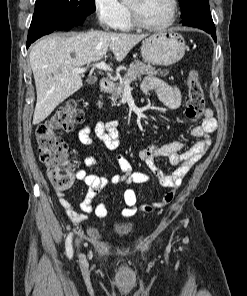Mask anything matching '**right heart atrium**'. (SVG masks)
<instances>
[{
	"label": "right heart atrium",
	"mask_w": 247,
	"mask_h": 296,
	"mask_svg": "<svg viewBox=\"0 0 247 296\" xmlns=\"http://www.w3.org/2000/svg\"><path fill=\"white\" fill-rule=\"evenodd\" d=\"M94 14L102 27L118 28L127 15L120 0H93Z\"/></svg>",
	"instance_id": "obj_1"
}]
</instances>
